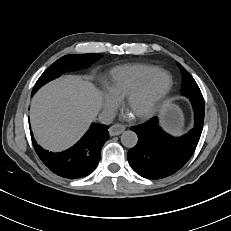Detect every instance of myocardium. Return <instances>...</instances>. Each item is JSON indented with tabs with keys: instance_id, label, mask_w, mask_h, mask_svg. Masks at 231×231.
Wrapping results in <instances>:
<instances>
[{
	"instance_id": "obj_1",
	"label": "myocardium",
	"mask_w": 231,
	"mask_h": 231,
	"mask_svg": "<svg viewBox=\"0 0 231 231\" xmlns=\"http://www.w3.org/2000/svg\"><path fill=\"white\" fill-rule=\"evenodd\" d=\"M162 76H165L167 78V82L162 92L146 109L134 114L135 118L148 119L154 116L160 110V108L163 106V104L165 103V101L167 100V98L169 97L172 91L173 77L169 72L164 71V70H159L153 75L143 80L139 85H137L134 89H132L125 96L124 106L126 108H129V106L131 105L135 97L145 92L150 86H152L155 82H157Z\"/></svg>"
}]
</instances>
